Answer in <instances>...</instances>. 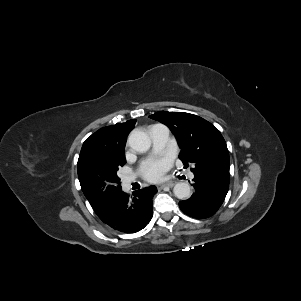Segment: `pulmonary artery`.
Listing matches in <instances>:
<instances>
[{"label":"pulmonary artery","mask_w":301,"mask_h":301,"mask_svg":"<svg viewBox=\"0 0 301 301\" xmlns=\"http://www.w3.org/2000/svg\"><path fill=\"white\" fill-rule=\"evenodd\" d=\"M170 131L163 124H154L149 128V135L153 145L154 153H161L168 144ZM193 177V174H190ZM133 180L132 177L125 179V184L128 185Z\"/></svg>","instance_id":"e3ab8cb5"}]
</instances>
